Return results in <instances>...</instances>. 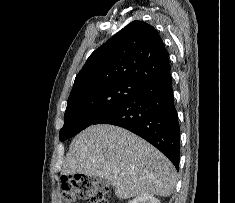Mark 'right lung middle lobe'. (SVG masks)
<instances>
[{"mask_svg":"<svg viewBox=\"0 0 235 203\" xmlns=\"http://www.w3.org/2000/svg\"><path fill=\"white\" fill-rule=\"evenodd\" d=\"M143 84L113 80L95 83L70 93L59 139L64 141L116 108Z\"/></svg>","mask_w":235,"mask_h":203,"instance_id":"dd1d6c3e","label":"right lung middle lobe"}]
</instances>
